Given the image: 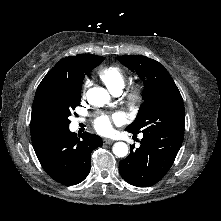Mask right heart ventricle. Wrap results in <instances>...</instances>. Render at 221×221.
Listing matches in <instances>:
<instances>
[{"label":"right heart ventricle","instance_id":"obj_1","mask_svg":"<svg viewBox=\"0 0 221 221\" xmlns=\"http://www.w3.org/2000/svg\"><path fill=\"white\" fill-rule=\"evenodd\" d=\"M98 76L112 93L122 91L126 83V73L117 65L101 68L98 71Z\"/></svg>","mask_w":221,"mask_h":221}]
</instances>
